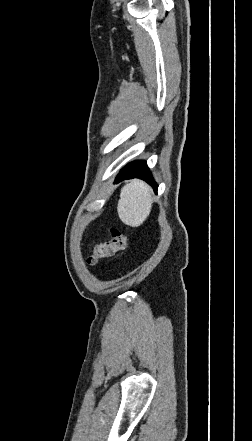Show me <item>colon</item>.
Returning a JSON list of instances; mask_svg holds the SVG:
<instances>
[{
  "instance_id": "colon-1",
  "label": "colon",
  "mask_w": 252,
  "mask_h": 441,
  "mask_svg": "<svg viewBox=\"0 0 252 441\" xmlns=\"http://www.w3.org/2000/svg\"><path fill=\"white\" fill-rule=\"evenodd\" d=\"M126 236L118 229L110 230V239L95 244L87 257L88 265H95L98 262L113 256L115 253L124 250L126 247Z\"/></svg>"
}]
</instances>
